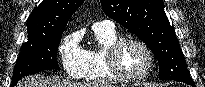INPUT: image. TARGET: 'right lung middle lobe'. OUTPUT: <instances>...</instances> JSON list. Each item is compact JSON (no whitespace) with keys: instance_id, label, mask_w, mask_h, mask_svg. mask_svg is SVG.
<instances>
[{"instance_id":"right-lung-middle-lobe-1","label":"right lung middle lobe","mask_w":205,"mask_h":87,"mask_svg":"<svg viewBox=\"0 0 205 87\" xmlns=\"http://www.w3.org/2000/svg\"><path fill=\"white\" fill-rule=\"evenodd\" d=\"M62 33L28 37V41L22 44L15 64L11 87L24 76L48 69H60L56 55Z\"/></svg>"}]
</instances>
